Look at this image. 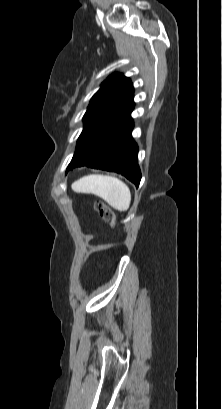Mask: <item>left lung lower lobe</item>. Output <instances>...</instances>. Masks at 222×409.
<instances>
[{
	"instance_id": "obj_1",
	"label": "left lung lower lobe",
	"mask_w": 222,
	"mask_h": 409,
	"mask_svg": "<svg viewBox=\"0 0 222 409\" xmlns=\"http://www.w3.org/2000/svg\"><path fill=\"white\" fill-rule=\"evenodd\" d=\"M132 109L133 105L120 118L101 130L70 163L68 170L87 166L114 171L124 175L138 187L141 172L137 163L138 147L131 136Z\"/></svg>"
}]
</instances>
